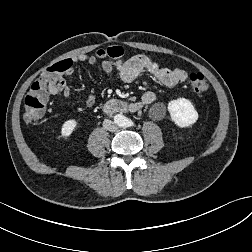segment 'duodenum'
Segmentation results:
<instances>
[{
    "label": "duodenum",
    "mask_w": 252,
    "mask_h": 252,
    "mask_svg": "<svg viewBox=\"0 0 252 252\" xmlns=\"http://www.w3.org/2000/svg\"><path fill=\"white\" fill-rule=\"evenodd\" d=\"M103 111L106 114H114L122 111H131L133 107L118 100H109L103 105Z\"/></svg>",
    "instance_id": "duodenum-1"
}]
</instances>
